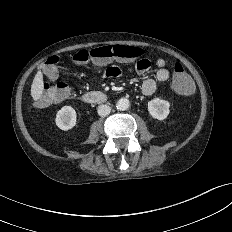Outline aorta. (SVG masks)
<instances>
[{
    "mask_svg": "<svg viewBox=\"0 0 232 232\" xmlns=\"http://www.w3.org/2000/svg\"><path fill=\"white\" fill-rule=\"evenodd\" d=\"M130 106V102L127 98H121L118 100L116 107L118 110H127Z\"/></svg>",
    "mask_w": 232,
    "mask_h": 232,
    "instance_id": "1",
    "label": "aorta"
}]
</instances>
